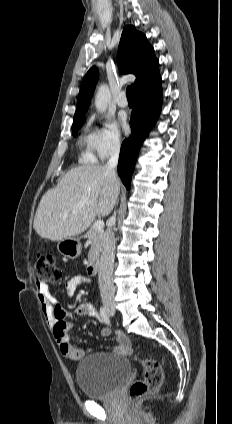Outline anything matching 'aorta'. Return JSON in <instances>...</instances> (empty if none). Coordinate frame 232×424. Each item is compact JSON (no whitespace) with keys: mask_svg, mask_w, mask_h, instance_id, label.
<instances>
[{"mask_svg":"<svg viewBox=\"0 0 232 424\" xmlns=\"http://www.w3.org/2000/svg\"><path fill=\"white\" fill-rule=\"evenodd\" d=\"M110 100H111V94H110L109 87L106 84L100 85L95 97L96 109L99 112H105Z\"/></svg>","mask_w":232,"mask_h":424,"instance_id":"1","label":"aorta"}]
</instances>
